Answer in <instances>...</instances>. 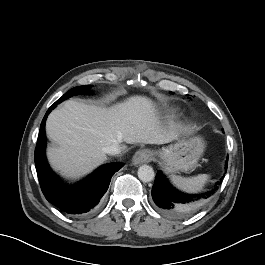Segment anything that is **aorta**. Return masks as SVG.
<instances>
[{
    "mask_svg": "<svg viewBox=\"0 0 265 265\" xmlns=\"http://www.w3.org/2000/svg\"><path fill=\"white\" fill-rule=\"evenodd\" d=\"M138 177L143 182H151L155 177L153 168L149 165L140 166L138 169Z\"/></svg>",
    "mask_w": 265,
    "mask_h": 265,
    "instance_id": "1",
    "label": "aorta"
}]
</instances>
